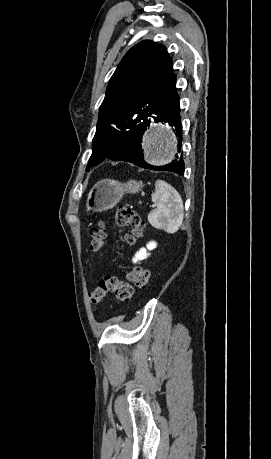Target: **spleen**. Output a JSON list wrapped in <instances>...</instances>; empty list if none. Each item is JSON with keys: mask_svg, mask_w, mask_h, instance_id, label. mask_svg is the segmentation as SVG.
<instances>
[{"mask_svg": "<svg viewBox=\"0 0 271 459\" xmlns=\"http://www.w3.org/2000/svg\"><path fill=\"white\" fill-rule=\"evenodd\" d=\"M152 202L157 208L151 212L148 220L154 228L164 229L167 233H175L181 228L184 218L183 202L180 194L163 180L155 182Z\"/></svg>", "mask_w": 271, "mask_h": 459, "instance_id": "spleen-1", "label": "spleen"}]
</instances>
